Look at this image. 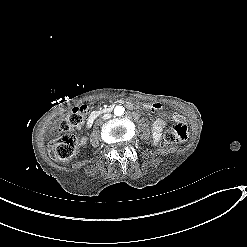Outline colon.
<instances>
[{
    "label": "colon",
    "mask_w": 247,
    "mask_h": 247,
    "mask_svg": "<svg viewBox=\"0 0 247 247\" xmlns=\"http://www.w3.org/2000/svg\"><path fill=\"white\" fill-rule=\"evenodd\" d=\"M143 106L146 109L151 108L153 111H161L163 109V104L157 101L151 103V101L146 100ZM87 113L88 111L85 107H79L61 121L58 130L64 135L61 138H52L47 142V149L54 159L66 161L74 157L76 153L74 131L84 123ZM187 134V126L184 123H178L165 132L163 142L167 146H172L176 142L186 140Z\"/></svg>",
    "instance_id": "obj_1"
}]
</instances>
